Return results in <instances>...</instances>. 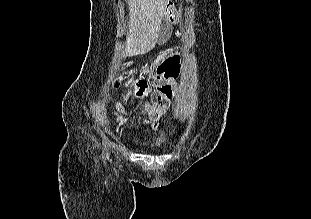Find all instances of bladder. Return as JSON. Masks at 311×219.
I'll return each mask as SVG.
<instances>
[{"label":"bladder","mask_w":311,"mask_h":219,"mask_svg":"<svg viewBox=\"0 0 311 219\" xmlns=\"http://www.w3.org/2000/svg\"><path fill=\"white\" fill-rule=\"evenodd\" d=\"M160 150H162V148H159V147L155 148V151H160Z\"/></svg>","instance_id":"31cf9c89"}]
</instances>
